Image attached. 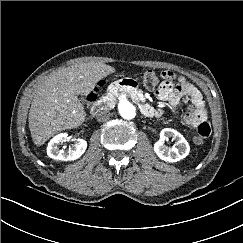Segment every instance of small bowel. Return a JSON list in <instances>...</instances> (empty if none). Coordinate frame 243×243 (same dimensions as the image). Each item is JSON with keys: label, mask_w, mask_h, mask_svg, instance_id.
Listing matches in <instances>:
<instances>
[{"label": "small bowel", "mask_w": 243, "mask_h": 243, "mask_svg": "<svg viewBox=\"0 0 243 243\" xmlns=\"http://www.w3.org/2000/svg\"><path fill=\"white\" fill-rule=\"evenodd\" d=\"M162 74L164 80L156 89L155 96L161 101L168 102L174 111L182 99L186 98L189 100L190 105L184 116V122L194 127L199 135L207 138L211 133V127L200 91L183 76L170 71L163 72ZM154 115L161 117L163 110L156 109Z\"/></svg>", "instance_id": "c3829d8e"}]
</instances>
